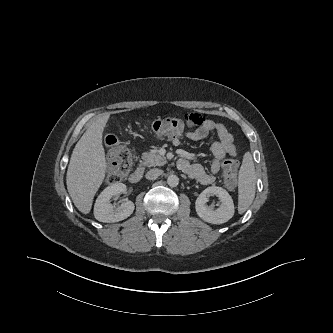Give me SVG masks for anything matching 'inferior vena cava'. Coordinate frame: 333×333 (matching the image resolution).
Segmentation results:
<instances>
[{
	"mask_svg": "<svg viewBox=\"0 0 333 333\" xmlns=\"http://www.w3.org/2000/svg\"><path fill=\"white\" fill-rule=\"evenodd\" d=\"M163 173V171L161 169L155 168V169H150L145 177L148 180H155L157 179L161 174Z\"/></svg>",
	"mask_w": 333,
	"mask_h": 333,
	"instance_id": "inferior-vena-cava-1",
	"label": "inferior vena cava"
}]
</instances>
